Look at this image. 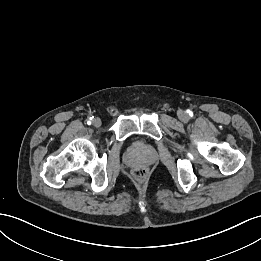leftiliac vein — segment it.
I'll return each instance as SVG.
<instances>
[{
	"instance_id": "left-iliac-vein-1",
	"label": "left iliac vein",
	"mask_w": 261,
	"mask_h": 261,
	"mask_svg": "<svg viewBox=\"0 0 261 261\" xmlns=\"http://www.w3.org/2000/svg\"><path fill=\"white\" fill-rule=\"evenodd\" d=\"M178 117H179L180 120L186 121L187 118H188V115H187L186 112H184V111H179V112H178Z\"/></svg>"
}]
</instances>
